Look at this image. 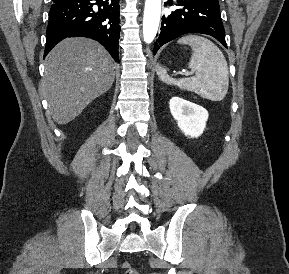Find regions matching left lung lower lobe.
Returning <instances> with one entry per match:
<instances>
[{"label":"left lung lower lobe","mask_w":289,"mask_h":274,"mask_svg":"<svg viewBox=\"0 0 289 274\" xmlns=\"http://www.w3.org/2000/svg\"><path fill=\"white\" fill-rule=\"evenodd\" d=\"M176 9L162 16L161 32L154 44V54L165 43L188 33L207 34L227 48L218 0H177ZM169 5L173 2L169 1Z\"/></svg>","instance_id":"left-lung-lower-lobe-1"}]
</instances>
